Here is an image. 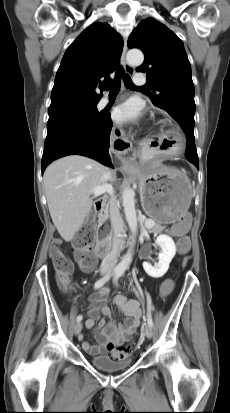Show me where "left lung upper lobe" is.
I'll return each mask as SVG.
<instances>
[{"mask_svg":"<svg viewBox=\"0 0 230 413\" xmlns=\"http://www.w3.org/2000/svg\"><path fill=\"white\" fill-rule=\"evenodd\" d=\"M129 48L144 53L137 72L146 73L153 105L164 109L184 132L194 129V84L184 45L164 24L150 17L142 20L128 39Z\"/></svg>","mask_w":230,"mask_h":413,"instance_id":"left-lung-upper-lobe-1","label":"left lung upper lobe"}]
</instances>
